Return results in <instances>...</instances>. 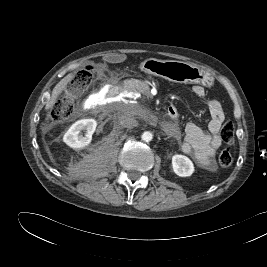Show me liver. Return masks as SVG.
I'll return each mask as SVG.
<instances>
[{
  "instance_id": "6515ba94",
  "label": "liver",
  "mask_w": 267,
  "mask_h": 267,
  "mask_svg": "<svg viewBox=\"0 0 267 267\" xmlns=\"http://www.w3.org/2000/svg\"><path fill=\"white\" fill-rule=\"evenodd\" d=\"M74 74L69 73L63 79H61L56 86L53 88L51 93V99L46 104L45 109L49 110L57 102L59 95L66 89L67 85L73 80Z\"/></svg>"
}]
</instances>
